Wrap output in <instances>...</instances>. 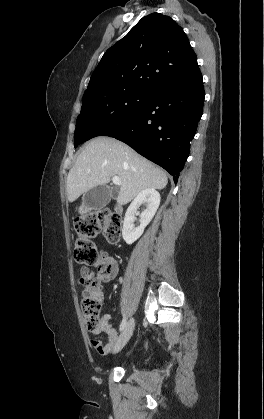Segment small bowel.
Wrapping results in <instances>:
<instances>
[{"instance_id":"1","label":"small bowel","mask_w":264,"mask_h":419,"mask_svg":"<svg viewBox=\"0 0 264 419\" xmlns=\"http://www.w3.org/2000/svg\"><path fill=\"white\" fill-rule=\"evenodd\" d=\"M118 270L117 260L107 251L101 250L97 262L93 265V269L86 266L81 267L78 284L84 287L90 284L102 293V284L115 279ZM109 321L110 315L104 314L100 319L99 330L93 331V334L105 333L107 342L103 343L98 339H92L90 341L91 346L102 356L111 354L119 339L116 329L109 324Z\"/></svg>"}]
</instances>
